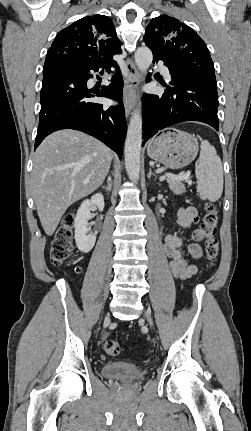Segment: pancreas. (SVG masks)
Instances as JSON below:
<instances>
[{
    "label": "pancreas",
    "mask_w": 251,
    "mask_h": 431,
    "mask_svg": "<svg viewBox=\"0 0 251 431\" xmlns=\"http://www.w3.org/2000/svg\"><path fill=\"white\" fill-rule=\"evenodd\" d=\"M167 183L174 194L180 195L185 192V186L180 180L167 178Z\"/></svg>",
    "instance_id": "cf45deb5"
}]
</instances>
